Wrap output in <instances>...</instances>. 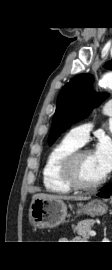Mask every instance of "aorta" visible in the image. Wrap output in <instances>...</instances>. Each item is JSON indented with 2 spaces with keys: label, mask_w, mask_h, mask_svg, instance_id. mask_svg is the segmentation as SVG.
Returning a JSON list of instances; mask_svg holds the SVG:
<instances>
[{
  "label": "aorta",
  "mask_w": 112,
  "mask_h": 270,
  "mask_svg": "<svg viewBox=\"0 0 112 270\" xmlns=\"http://www.w3.org/2000/svg\"><path fill=\"white\" fill-rule=\"evenodd\" d=\"M100 85L102 87H107L112 89V72L105 74L102 79L100 80Z\"/></svg>",
  "instance_id": "aorta-1"
}]
</instances>
